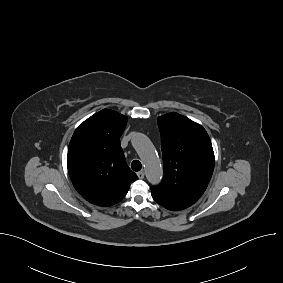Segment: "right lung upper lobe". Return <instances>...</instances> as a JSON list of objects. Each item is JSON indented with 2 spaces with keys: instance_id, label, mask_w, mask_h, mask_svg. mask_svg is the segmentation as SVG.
<instances>
[{
  "instance_id": "right-lung-upper-lobe-1",
  "label": "right lung upper lobe",
  "mask_w": 283,
  "mask_h": 283,
  "mask_svg": "<svg viewBox=\"0 0 283 283\" xmlns=\"http://www.w3.org/2000/svg\"><path fill=\"white\" fill-rule=\"evenodd\" d=\"M126 124V116L103 109L80 124L71 138L69 176L80 195L92 204L114 205L138 179L120 146Z\"/></svg>"
}]
</instances>
